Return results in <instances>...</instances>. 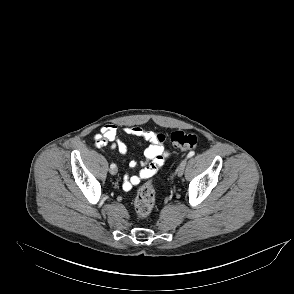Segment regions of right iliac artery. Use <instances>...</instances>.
<instances>
[{
  "instance_id": "obj_1",
  "label": "right iliac artery",
  "mask_w": 294,
  "mask_h": 294,
  "mask_svg": "<svg viewBox=\"0 0 294 294\" xmlns=\"http://www.w3.org/2000/svg\"><path fill=\"white\" fill-rule=\"evenodd\" d=\"M110 167L111 168H114V167H116V165L115 164H111Z\"/></svg>"
}]
</instances>
